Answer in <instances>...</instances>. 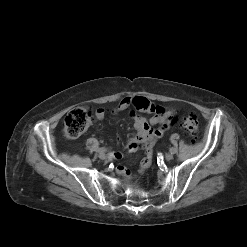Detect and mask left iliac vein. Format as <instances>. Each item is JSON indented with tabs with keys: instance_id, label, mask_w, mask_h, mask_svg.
<instances>
[{
	"instance_id": "1",
	"label": "left iliac vein",
	"mask_w": 247,
	"mask_h": 247,
	"mask_svg": "<svg viewBox=\"0 0 247 247\" xmlns=\"http://www.w3.org/2000/svg\"><path fill=\"white\" fill-rule=\"evenodd\" d=\"M165 159H166L167 161L172 160V159H173V154H172V153L166 154Z\"/></svg>"
}]
</instances>
